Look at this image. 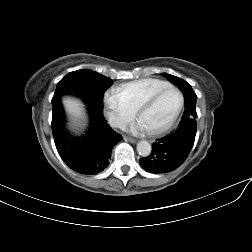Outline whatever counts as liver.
Masks as SVG:
<instances>
[{
    "mask_svg": "<svg viewBox=\"0 0 252 252\" xmlns=\"http://www.w3.org/2000/svg\"><path fill=\"white\" fill-rule=\"evenodd\" d=\"M63 103L67 112L71 115L73 120L79 122L78 124H82L80 122L85 119V113L81 101L68 97L63 100Z\"/></svg>",
    "mask_w": 252,
    "mask_h": 252,
    "instance_id": "liver-1",
    "label": "liver"
}]
</instances>
